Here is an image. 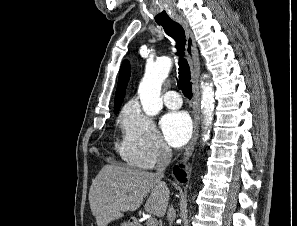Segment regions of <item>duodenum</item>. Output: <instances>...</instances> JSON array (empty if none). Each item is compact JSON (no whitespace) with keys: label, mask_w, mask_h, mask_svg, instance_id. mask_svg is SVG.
<instances>
[{"label":"duodenum","mask_w":297,"mask_h":226,"mask_svg":"<svg viewBox=\"0 0 297 226\" xmlns=\"http://www.w3.org/2000/svg\"><path fill=\"white\" fill-rule=\"evenodd\" d=\"M130 226H143V225L135 220H130Z\"/></svg>","instance_id":"duodenum-1"}]
</instances>
